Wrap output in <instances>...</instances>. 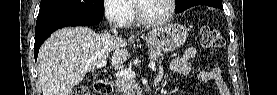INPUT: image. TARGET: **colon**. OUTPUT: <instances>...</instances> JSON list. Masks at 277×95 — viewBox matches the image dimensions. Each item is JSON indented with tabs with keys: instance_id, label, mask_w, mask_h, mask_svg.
Segmentation results:
<instances>
[{
	"instance_id": "1",
	"label": "colon",
	"mask_w": 277,
	"mask_h": 95,
	"mask_svg": "<svg viewBox=\"0 0 277 95\" xmlns=\"http://www.w3.org/2000/svg\"><path fill=\"white\" fill-rule=\"evenodd\" d=\"M201 44L206 49H218L224 44V38L218 30L210 26H203L200 29ZM72 94L89 95L88 88L84 86H76Z\"/></svg>"
}]
</instances>
